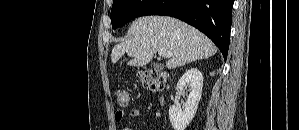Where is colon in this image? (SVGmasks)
Here are the masks:
<instances>
[{"label":"colon","instance_id":"obj_1","mask_svg":"<svg viewBox=\"0 0 299 130\" xmlns=\"http://www.w3.org/2000/svg\"><path fill=\"white\" fill-rule=\"evenodd\" d=\"M137 75L142 86L151 90L163 88L168 80L167 73L162 71L140 70ZM117 101L120 106L125 107L129 104L130 93L126 88L121 87L117 90Z\"/></svg>","mask_w":299,"mask_h":130}]
</instances>
